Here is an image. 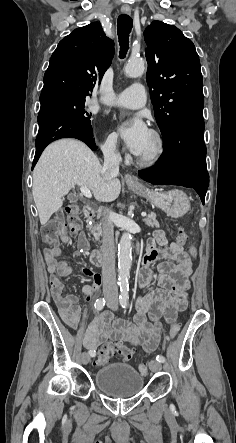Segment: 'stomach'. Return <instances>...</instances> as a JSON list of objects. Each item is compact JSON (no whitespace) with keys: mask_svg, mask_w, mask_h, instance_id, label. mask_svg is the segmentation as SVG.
I'll list each match as a JSON object with an SVG mask.
<instances>
[{"mask_svg":"<svg viewBox=\"0 0 236 443\" xmlns=\"http://www.w3.org/2000/svg\"><path fill=\"white\" fill-rule=\"evenodd\" d=\"M136 194L147 198L154 206L163 210L167 216L172 218L182 217L190 208L187 195L181 190H170L158 192L145 187H130Z\"/></svg>","mask_w":236,"mask_h":443,"instance_id":"1","label":"stomach"}]
</instances>
